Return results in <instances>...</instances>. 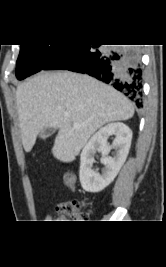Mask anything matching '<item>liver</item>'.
<instances>
[{
	"instance_id": "liver-1",
	"label": "liver",
	"mask_w": 166,
	"mask_h": 267,
	"mask_svg": "<svg viewBox=\"0 0 166 267\" xmlns=\"http://www.w3.org/2000/svg\"><path fill=\"white\" fill-rule=\"evenodd\" d=\"M16 104L24 150H32L43 128H56L52 153L63 162H72L106 123L134 115L132 103L113 87L69 71L41 72L28 79L17 87Z\"/></svg>"
}]
</instances>
